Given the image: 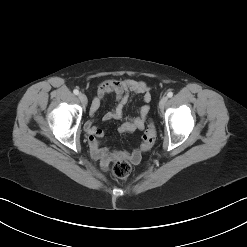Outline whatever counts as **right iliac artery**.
Instances as JSON below:
<instances>
[{
  "label": "right iliac artery",
  "mask_w": 247,
  "mask_h": 247,
  "mask_svg": "<svg viewBox=\"0 0 247 247\" xmlns=\"http://www.w3.org/2000/svg\"><path fill=\"white\" fill-rule=\"evenodd\" d=\"M73 93H74L75 95H78V94H79V91H78L77 89H75V90L73 91Z\"/></svg>",
  "instance_id": "right-iliac-artery-1"
}]
</instances>
